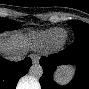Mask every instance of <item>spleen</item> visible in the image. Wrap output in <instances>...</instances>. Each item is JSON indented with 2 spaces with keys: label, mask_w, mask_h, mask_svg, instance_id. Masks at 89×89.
I'll use <instances>...</instances> for the list:
<instances>
[{
  "label": "spleen",
  "mask_w": 89,
  "mask_h": 89,
  "mask_svg": "<svg viewBox=\"0 0 89 89\" xmlns=\"http://www.w3.org/2000/svg\"><path fill=\"white\" fill-rule=\"evenodd\" d=\"M73 73V68L64 67L57 72L56 78L61 84H66L70 81Z\"/></svg>",
  "instance_id": "1"
}]
</instances>
